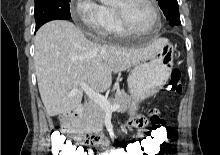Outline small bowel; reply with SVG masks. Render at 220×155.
Returning <instances> with one entry per match:
<instances>
[{
  "instance_id": "small-bowel-1",
  "label": "small bowel",
  "mask_w": 220,
  "mask_h": 155,
  "mask_svg": "<svg viewBox=\"0 0 220 155\" xmlns=\"http://www.w3.org/2000/svg\"><path fill=\"white\" fill-rule=\"evenodd\" d=\"M129 124L135 127L138 131V136L140 139H144V135H148L145 132L144 127L147 124L146 119L143 116H138L129 121ZM168 129V128H167ZM168 135V134H167ZM91 140H86V145H108V140L105 136H91ZM164 145V144H163ZM128 147V146H127ZM114 150H120V155H126L122 148H113L106 151L103 155H114Z\"/></svg>"
}]
</instances>
